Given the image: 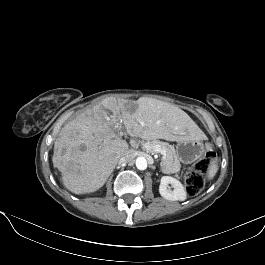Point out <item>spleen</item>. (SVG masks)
Instances as JSON below:
<instances>
[{
	"label": "spleen",
	"mask_w": 265,
	"mask_h": 265,
	"mask_svg": "<svg viewBox=\"0 0 265 265\" xmlns=\"http://www.w3.org/2000/svg\"><path fill=\"white\" fill-rule=\"evenodd\" d=\"M218 171L217 161H213L208 169V179H212Z\"/></svg>",
	"instance_id": "spleen-1"
}]
</instances>
